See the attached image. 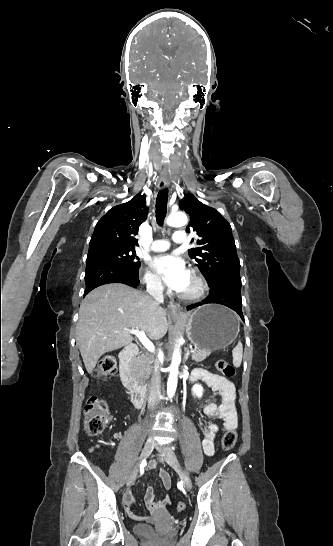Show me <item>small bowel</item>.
<instances>
[{
	"mask_svg": "<svg viewBox=\"0 0 333 546\" xmlns=\"http://www.w3.org/2000/svg\"><path fill=\"white\" fill-rule=\"evenodd\" d=\"M193 382L201 381L207 387L214 391H217L220 395V402L216 400L209 401L204 406V413L207 416L213 417L222 422V429L220 430L217 424L211 423L207 427L204 434L202 447L207 456L214 454V439L220 432L235 429L238 425V414L234 405L235 400V387L233 383L225 377L217 374H213L205 369H195L191 377ZM155 468V464L151 466V470ZM159 478L165 489H170L171 478L166 470L159 472ZM145 501L147 508L153 514L161 512L170 503L168 496L156 500L154 496V490L151 486L147 487L145 493ZM134 496L131 491H127L124 496V508L129 516L135 517L132 507L134 505Z\"/></svg>",
	"mask_w": 333,
	"mask_h": 546,
	"instance_id": "small-bowel-1",
	"label": "small bowel"
}]
</instances>
